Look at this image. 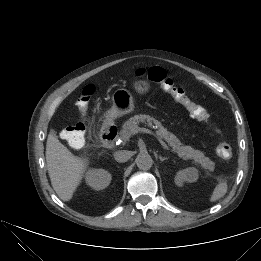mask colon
<instances>
[{
  "label": "colon",
  "instance_id": "5ec220e1",
  "mask_svg": "<svg viewBox=\"0 0 261 261\" xmlns=\"http://www.w3.org/2000/svg\"><path fill=\"white\" fill-rule=\"evenodd\" d=\"M137 76L147 78L148 80L157 83L165 92L172 95V97L190 112V114L202 121L209 122V115L203 107L194 103L188 98L183 88L175 85L173 79L168 75L162 67L141 68L136 72ZM95 93V86L88 84L84 86L81 94L77 100V107L79 111L84 113L89 105L92 96ZM86 127L83 123L78 122L67 126L62 131L63 138L73 148H81L85 143ZM215 132L220 136L216 152L223 160H229L233 157V149L231 145L221 138V132L215 129Z\"/></svg>",
  "mask_w": 261,
  "mask_h": 261
}]
</instances>
